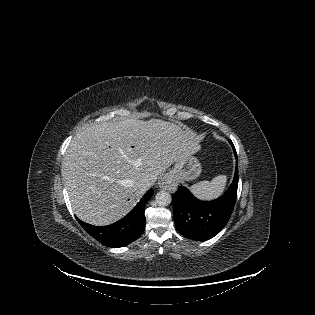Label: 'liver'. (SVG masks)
I'll use <instances>...</instances> for the list:
<instances>
[{"label": "liver", "instance_id": "1", "mask_svg": "<svg viewBox=\"0 0 315 315\" xmlns=\"http://www.w3.org/2000/svg\"><path fill=\"white\" fill-rule=\"evenodd\" d=\"M190 129L160 119H125L78 132L66 151L62 178L76 216L108 225L125 216L173 163L200 149Z\"/></svg>", "mask_w": 315, "mask_h": 315}]
</instances>
